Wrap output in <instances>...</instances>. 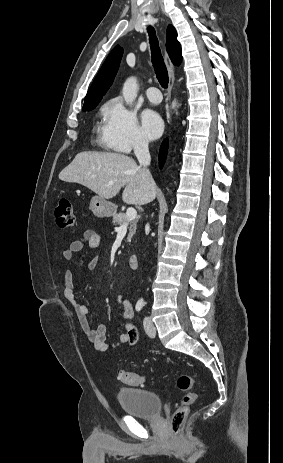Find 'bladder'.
<instances>
[{"label": "bladder", "instance_id": "bladder-1", "mask_svg": "<svg viewBox=\"0 0 283 463\" xmlns=\"http://www.w3.org/2000/svg\"><path fill=\"white\" fill-rule=\"evenodd\" d=\"M121 409L132 416L153 419L162 410L161 398L146 389L122 388L116 394Z\"/></svg>", "mask_w": 283, "mask_h": 463}]
</instances>
